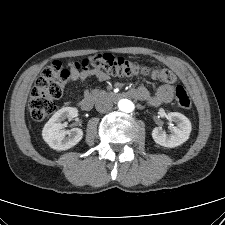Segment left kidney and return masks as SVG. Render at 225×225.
Instances as JSON below:
<instances>
[{
  "label": "left kidney",
  "instance_id": "5707ae66",
  "mask_svg": "<svg viewBox=\"0 0 225 225\" xmlns=\"http://www.w3.org/2000/svg\"><path fill=\"white\" fill-rule=\"evenodd\" d=\"M166 117L170 122H175L177 126L171 128V134H167L160 127H156L152 131V137L157 144L168 148H174L189 139L191 123L186 116L178 112H170Z\"/></svg>",
  "mask_w": 225,
  "mask_h": 225
}]
</instances>
